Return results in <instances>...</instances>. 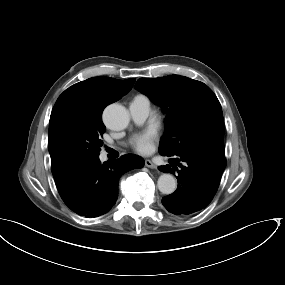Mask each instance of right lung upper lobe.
I'll use <instances>...</instances> for the list:
<instances>
[{
    "label": "right lung upper lobe",
    "mask_w": 285,
    "mask_h": 285,
    "mask_svg": "<svg viewBox=\"0 0 285 285\" xmlns=\"http://www.w3.org/2000/svg\"><path fill=\"white\" fill-rule=\"evenodd\" d=\"M134 82V78L117 80L109 77H93L72 85L59 97H76L89 100L105 108L126 95L133 87Z\"/></svg>",
    "instance_id": "right-lung-upper-lobe-1"
}]
</instances>
